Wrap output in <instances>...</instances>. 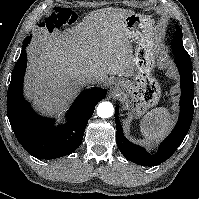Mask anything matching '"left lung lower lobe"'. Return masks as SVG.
Masks as SVG:
<instances>
[{"label": "left lung lower lobe", "mask_w": 199, "mask_h": 199, "mask_svg": "<svg viewBox=\"0 0 199 199\" xmlns=\"http://www.w3.org/2000/svg\"><path fill=\"white\" fill-rule=\"evenodd\" d=\"M175 63L181 77V97L179 119L171 134L160 144L155 155L148 154L144 148L128 141L119 121V107L115 110V123L117 128V145L121 153L131 162L142 166H157L166 161L176 151L184 140L192 123L194 83L192 63L175 56Z\"/></svg>", "instance_id": "obj_1"}]
</instances>
